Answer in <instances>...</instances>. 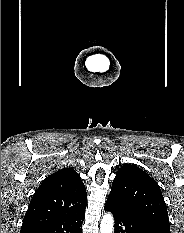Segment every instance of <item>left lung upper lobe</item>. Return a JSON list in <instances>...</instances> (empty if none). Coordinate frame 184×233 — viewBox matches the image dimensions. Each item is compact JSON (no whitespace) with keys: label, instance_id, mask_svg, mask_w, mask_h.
I'll return each mask as SVG.
<instances>
[{"label":"left lung upper lobe","instance_id":"1","mask_svg":"<svg viewBox=\"0 0 184 233\" xmlns=\"http://www.w3.org/2000/svg\"><path fill=\"white\" fill-rule=\"evenodd\" d=\"M107 201L126 212L147 233H170L161 189L141 168L132 164L122 166L113 180Z\"/></svg>","mask_w":184,"mask_h":233}]
</instances>
